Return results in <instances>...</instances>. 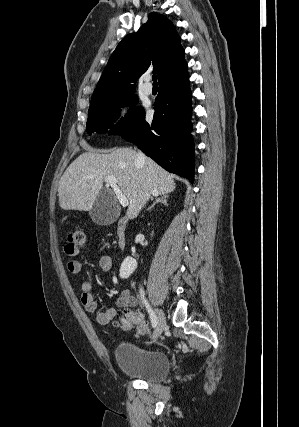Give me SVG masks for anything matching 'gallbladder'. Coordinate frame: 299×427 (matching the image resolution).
Here are the masks:
<instances>
[{"label": "gallbladder", "instance_id": "gallbladder-1", "mask_svg": "<svg viewBox=\"0 0 299 427\" xmlns=\"http://www.w3.org/2000/svg\"><path fill=\"white\" fill-rule=\"evenodd\" d=\"M89 214L97 225H109L115 222L120 216V209L114 194L103 189L98 194Z\"/></svg>", "mask_w": 299, "mask_h": 427}]
</instances>
